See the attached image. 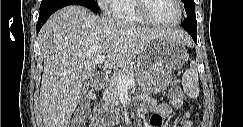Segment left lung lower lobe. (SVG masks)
<instances>
[{
	"mask_svg": "<svg viewBox=\"0 0 243 127\" xmlns=\"http://www.w3.org/2000/svg\"><path fill=\"white\" fill-rule=\"evenodd\" d=\"M186 21H189V19H186ZM182 26L192 36L194 42L197 44V25L191 26L182 24Z\"/></svg>",
	"mask_w": 243,
	"mask_h": 127,
	"instance_id": "0a47b994",
	"label": "left lung lower lobe"
}]
</instances>
